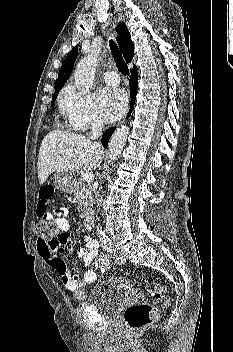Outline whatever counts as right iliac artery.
<instances>
[{
  "label": "right iliac artery",
  "mask_w": 233,
  "mask_h": 352,
  "mask_svg": "<svg viewBox=\"0 0 233 352\" xmlns=\"http://www.w3.org/2000/svg\"><path fill=\"white\" fill-rule=\"evenodd\" d=\"M104 249L109 252L110 247H108V246L106 245V246H104Z\"/></svg>",
  "instance_id": "obj_1"
}]
</instances>
